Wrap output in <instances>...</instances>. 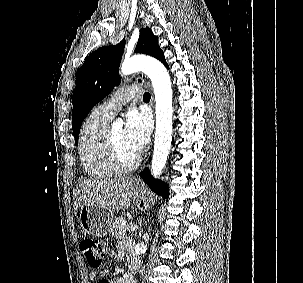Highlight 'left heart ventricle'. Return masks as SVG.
I'll return each mask as SVG.
<instances>
[{"mask_svg":"<svg viewBox=\"0 0 303 283\" xmlns=\"http://www.w3.org/2000/svg\"><path fill=\"white\" fill-rule=\"evenodd\" d=\"M112 135L114 141L119 149V152L122 158L125 161H131L135 157V153L127 146L124 134H123V127L122 126H113L111 127Z\"/></svg>","mask_w":303,"mask_h":283,"instance_id":"1","label":"left heart ventricle"}]
</instances>
